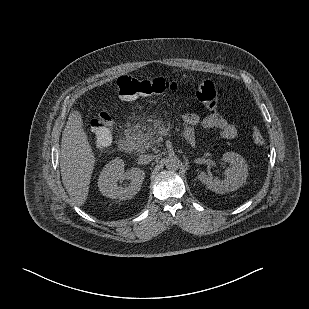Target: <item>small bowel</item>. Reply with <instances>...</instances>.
I'll list each match as a JSON object with an SVG mask.
<instances>
[{
    "mask_svg": "<svg viewBox=\"0 0 309 309\" xmlns=\"http://www.w3.org/2000/svg\"><path fill=\"white\" fill-rule=\"evenodd\" d=\"M184 123V138L189 143L195 141V131L198 126L205 129H216L221 137L227 140L234 139L238 134L236 127L219 114H211L201 119L195 113H188L184 116Z\"/></svg>",
    "mask_w": 309,
    "mask_h": 309,
    "instance_id": "1",
    "label": "small bowel"
}]
</instances>
